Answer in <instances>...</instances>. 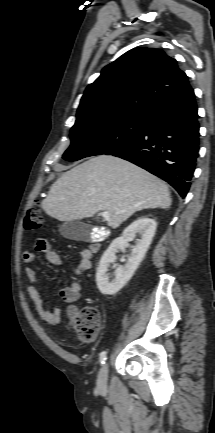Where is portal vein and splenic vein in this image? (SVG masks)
Segmentation results:
<instances>
[{"label":"portal vein and splenic vein","instance_id":"1","mask_svg":"<svg viewBox=\"0 0 215 433\" xmlns=\"http://www.w3.org/2000/svg\"><path fill=\"white\" fill-rule=\"evenodd\" d=\"M101 216L108 220L110 218V213L107 211H103L101 212Z\"/></svg>","mask_w":215,"mask_h":433}]
</instances>
